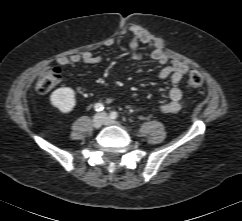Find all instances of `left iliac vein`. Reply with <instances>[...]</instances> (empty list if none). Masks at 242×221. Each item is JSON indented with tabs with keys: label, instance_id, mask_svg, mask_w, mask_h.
Returning <instances> with one entry per match:
<instances>
[{
	"label": "left iliac vein",
	"instance_id": "obj_1",
	"mask_svg": "<svg viewBox=\"0 0 242 221\" xmlns=\"http://www.w3.org/2000/svg\"><path fill=\"white\" fill-rule=\"evenodd\" d=\"M101 115L104 117V124L105 125H117L120 126V123L110 119L106 113H101Z\"/></svg>",
	"mask_w": 242,
	"mask_h": 221
}]
</instances>
